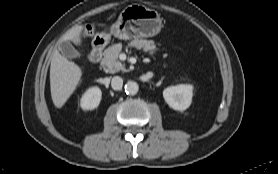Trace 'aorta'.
I'll return each mask as SVG.
<instances>
[{
  "label": "aorta",
  "mask_w": 278,
  "mask_h": 174,
  "mask_svg": "<svg viewBox=\"0 0 278 174\" xmlns=\"http://www.w3.org/2000/svg\"><path fill=\"white\" fill-rule=\"evenodd\" d=\"M138 90H139V86L134 81H129L125 85V91L127 94L135 95V94H137Z\"/></svg>",
  "instance_id": "762f6f07"
}]
</instances>
